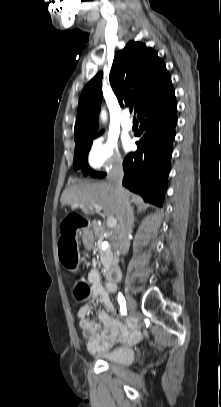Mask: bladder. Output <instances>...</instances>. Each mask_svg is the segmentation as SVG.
I'll use <instances>...</instances> for the list:
<instances>
[{"instance_id": "31cf9c89", "label": "bladder", "mask_w": 221, "mask_h": 407, "mask_svg": "<svg viewBox=\"0 0 221 407\" xmlns=\"http://www.w3.org/2000/svg\"><path fill=\"white\" fill-rule=\"evenodd\" d=\"M104 361L116 365H129L134 361L135 352L132 348L121 346L100 355Z\"/></svg>"}]
</instances>
